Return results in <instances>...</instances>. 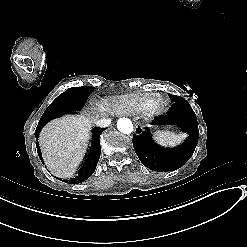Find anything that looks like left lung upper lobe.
<instances>
[{
  "label": "left lung upper lobe",
  "mask_w": 247,
  "mask_h": 247,
  "mask_svg": "<svg viewBox=\"0 0 247 247\" xmlns=\"http://www.w3.org/2000/svg\"><path fill=\"white\" fill-rule=\"evenodd\" d=\"M172 100L175 102V104H189L184 98L175 96V95H170Z\"/></svg>",
  "instance_id": "left-lung-upper-lobe-1"
}]
</instances>
